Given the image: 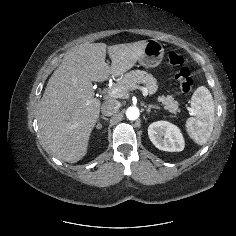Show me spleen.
Segmentation results:
<instances>
[{"label":"spleen","instance_id":"3e777b00","mask_svg":"<svg viewBox=\"0 0 236 236\" xmlns=\"http://www.w3.org/2000/svg\"><path fill=\"white\" fill-rule=\"evenodd\" d=\"M214 101L205 86L198 87L191 98L192 117L186 120L190 137L199 145L205 144L214 126Z\"/></svg>","mask_w":236,"mask_h":236}]
</instances>
